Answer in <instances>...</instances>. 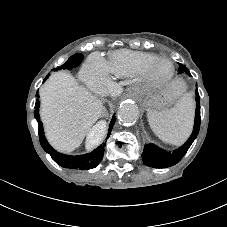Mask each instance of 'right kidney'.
I'll return each mask as SVG.
<instances>
[{
    "label": "right kidney",
    "instance_id": "1",
    "mask_svg": "<svg viewBox=\"0 0 227 227\" xmlns=\"http://www.w3.org/2000/svg\"><path fill=\"white\" fill-rule=\"evenodd\" d=\"M103 132V126L100 124L95 125L90 132L87 134L86 145L88 148H93V146L97 140L99 139L100 135Z\"/></svg>",
    "mask_w": 227,
    "mask_h": 227
}]
</instances>
